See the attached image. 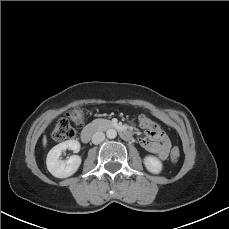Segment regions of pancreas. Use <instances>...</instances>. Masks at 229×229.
<instances>
[{
    "mask_svg": "<svg viewBox=\"0 0 229 229\" xmlns=\"http://www.w3.org/2000/svg\"><path fill=\"white\" fill-rule=\"evenodd\" d=\"M93 124L96 125L98 128L102 129V128H106V127L110 126L111 121L107 120V119L99 118V119H95L93 121Z\"/></svg>",
    "mask_w": 229,
    "mask_h": 229,
    "instance_id": "cf45deb5",
    "label": "pancreas"
}]
</instances>
